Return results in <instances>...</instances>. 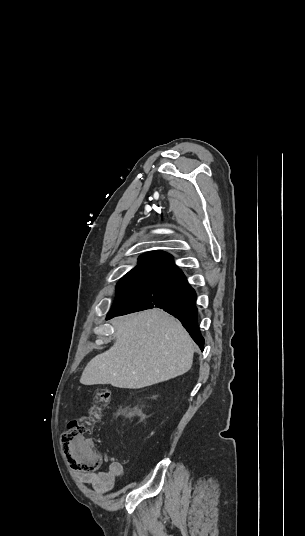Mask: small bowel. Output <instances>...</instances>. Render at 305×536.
<instances>
[{
    "instance_id": "small-bowel-1",
    "label": "small bowel",
    "mask_w": 305,
    "mask_h": 536,
    "mask_svg": "<svg viewBox=\"0 0 305 536\" xmlns=\"http://www.w3.org/2000/svg\"><path fill=\"white\" fill-rule=\"evenodd\" d=\"M123 473L122 464L118 461H112L107 471H97L94 473L78 471L77 478L83 483L91 484L97 493L104 494L114 488L116 479L122 477Z\"/></svg>"
}]
</instances>
